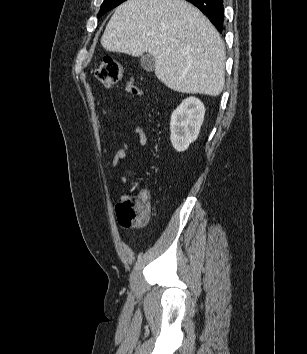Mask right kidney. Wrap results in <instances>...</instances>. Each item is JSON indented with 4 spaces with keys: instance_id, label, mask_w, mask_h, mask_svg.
<instances>
[{
    "instance_id": "ca27d5eb",
    "label": "right kidney",
    "mask_w": 307,
    "mask_h": 354,
    "mask_svg": "<svg viewBox=\"0 0 307 354\" xmlns=\"http://www.w3.org/2000/svg\"><path fill=\"white\" fill-rule=\"evenodd\" d=\"M204 115L205 107L195 97L184 99L173 111L170 122V140L176 151H185L197 139Z\"/></svg>"
}]
</instances>
